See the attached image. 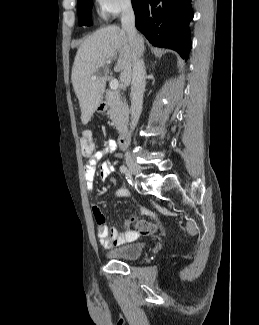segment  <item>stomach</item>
Returning <instances> with one entry per match:
<instances>
[{
	"label": "stomach",
	"instance_id": "stomach-1",
	"mask_svg": "<svg viewBox=\"0 0 259 325\" xmlns=\"http://www.w3.org/2000/svg\"><path fill=\"white\" fill-rule=\"evenodd\" d=\"M106 109H107L106 105L103 102H101L96 110L99 113H104Z\"/></svg>",
	"mask_w": 259,
	"mask_h": 325
}]
</instances>
